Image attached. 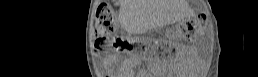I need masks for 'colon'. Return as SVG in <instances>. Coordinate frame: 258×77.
<instances>
[{
	"label": "colon",
	"instance_id": "colon-1",
	"mask_svg": "<svg viewBox=\"0 0 258 77\" xmlns=\"http://www.w3.org/2000/svg\"><path fill=\"white\" fill-rule=\"evenodd\" d=\"M205 19L200 17L197 21H185L174 32V35L186 40L196 37L205 26ZM117 20L113 11L107 6H99L96 10L95 46L106 49L110 46L119 47L121 42L115 38Z\"/></svg>",
	"mask_w": 258,
	"mask_h": 77
}]
</instances>
